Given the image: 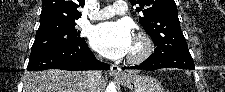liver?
<instances>
[{
    "label": "liver",
    "instance_id": "obj_1",
    "mask_svg": "<svg viewBox=\"0 0 225 92\" xmlns=\"http://www.w3.org/2000/svg\"><path fill=\"white\" fill-rule=\"evenodd\" d=\"M137 71H131L136 73ZM91 71L46 70L28 72L23 79V92H91L88 76ZM104 87V78L100 77L97 92Z\"/></svg>",
    "mask_w": 225,
    "mask_h": 92
}]
</instances>
